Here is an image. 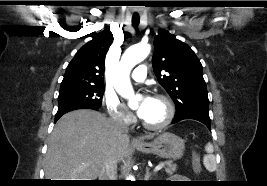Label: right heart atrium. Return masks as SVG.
Here are the masks:
<instances>
[{
    "label": "right heart atrium",
    "mask_w": 267,
    "mask_h": 186,
    "mask_svg": "<svg viewBox=\"0 0 267 186\" xmlns=\"http://www.w3.org/2000/svg\"><path fill=\"white\" fill-rule=\"evenodd\" d=\"M102 101L111 119L124 125H128L133 121V115L120 101L115 92L106 90Z\"/></svg>",
    "instance_id": "1"
}]
</instances>
